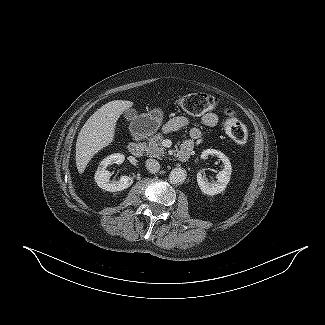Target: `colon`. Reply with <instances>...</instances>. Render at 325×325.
I'll return each mask as SVG.
<instances>
[{
	"mask_svg": "<svg viewBox=\"0 0 325 325\" xmlns=\"http://www.w3.org/2000/svg\"><path fill=\"white\" fill-rule=\"evenodd\" d=\"M179 107L187 114L197 116L213 110L218 103L216 97L206 93H192L178 98ZM226 133L238 145L247 141V130L239 119L233 115L226 118Z\"/></svg>",
	"mask_w": 325,
	"mask_h": 325,
	"instance_id": "1",
	"label": "colon"
}]
</instances>
